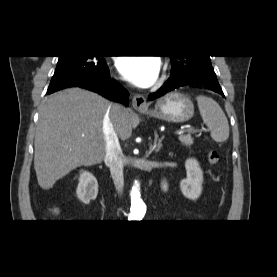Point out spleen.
Returning <instances> with one entry per match:
<instances>
[{
	"label": "spleen",
	"instance_id": "3e777b00",
	"mask_svg": "<svg viewBox=\"0 0 277 277\" xmlns=\"http://www.w3.org/2000/svg\"><path fill=\"white\" fill-rule=\"evenodd\" d=\"M198 108L203 122L209 128L216 142H224L229 137V124L219 104L210 97L197 96Z\"/></svg>",
	"mask_w": 277,
	"mask_h": 277
}]
</instances>
